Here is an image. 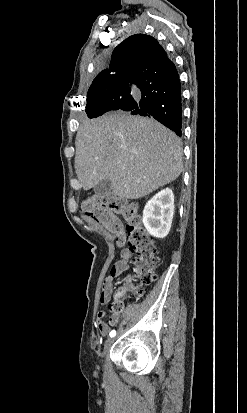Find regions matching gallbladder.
Returning a JSON list of instances; mask_svg holds the SVG:
<instances>
[{"mask_svg": "<svg viewBox=\"0 0 247 413\" xmlns=\"http://www.w3.org/2000/svg\"><path fill=\"white\" fill-rule=\"evenodd\" d=\"M94 192H96L97 196H111V180L104 178V180L95 184Z\"/></svg>", "mask_w": 247, "mask_h": 413, "instance_id": "bac80fb5", "label": "gallbladder"}]
</instances>
